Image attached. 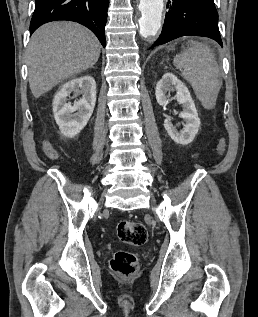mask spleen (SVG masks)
<instances>
[{"mask_svg": "<svg viewBox=\"0 0 258 317\" xmlns=\"http://www.w3.org/2000/svg\"><path fill=\"white\" fill-rule=\"evenodd\" d=\"M190 46L175 56L176 68H183L184 78L189 80L197 98L204 108H214L221 88L219 68L208 44L189 40Z\"/></svg>", "mask_w": 258, "mask_h": 317, "instance_id": "spleen-1", "label": "spleen"}]
</instances>
